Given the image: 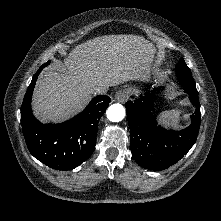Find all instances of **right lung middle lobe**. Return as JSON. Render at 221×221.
I'll use <instances>...</instances> for the list:
<instances>
[{"instance_id":"1","label":"right lung middle lobe","mask_w":221,"mask_h":221,"mask_svg":"<svg viewBox=\"0 0 221 221\" xmlns=\"http://www.w3.org/2000/svg\"><path fill=\"white\" fill-rule=\"evenodd\" d=\"M49 63H50V61H48L47 63L43 64L39 69H43V68L46 67Z\"/></svg>"}]
</instances>
